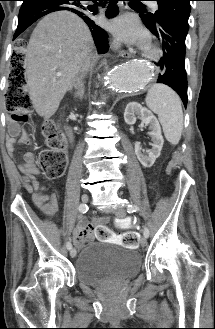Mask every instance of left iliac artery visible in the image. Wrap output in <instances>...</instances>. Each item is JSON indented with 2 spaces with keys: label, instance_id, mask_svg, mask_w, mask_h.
Returning <instances> with one entry per match:
<instances>
[{
  "label": "left iliac artery",
  "instance_id": "obj_1",
  "mask_svg": "<svg viewBox=\"0 0 215 329\" xmlns=\"http://www.w3.org/2000/svg\"><path fill=\"white\" fill-rule=\"evenodd\" d=\"M139 210L138 206L135 204H129L127 207V212L128 213H134L137 212ZM143 234L146 238L149 237V230L147 227L144 228Z\"/></svg>",
  "mask_w": 215,
  "mask_h": 329
}]
</instances>
